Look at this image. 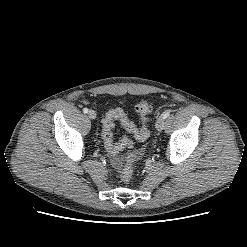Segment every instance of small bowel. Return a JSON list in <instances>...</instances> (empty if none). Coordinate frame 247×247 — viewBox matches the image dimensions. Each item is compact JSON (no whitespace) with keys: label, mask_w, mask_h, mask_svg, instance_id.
Wrapping results in <instances>:
<instances>
[{"label":"small bowel","mask_w":247,"mask_h":247,"mask_svg":"<svg viewBox=\"0 0 247 247\" xmlns=\"http://www.w3.org/2000/svg\"><path fill=\"white\" fill-rule=\"evenodd\" d=\"M111 162L116 169L121 167L122 161L118 155H111Z\"/></svg>","instance_id":"small-bowel-1"}]
</instances>
